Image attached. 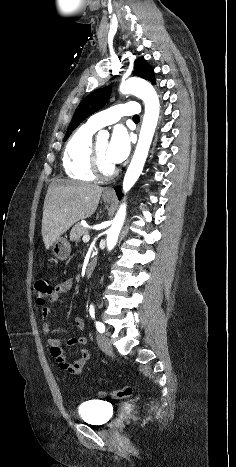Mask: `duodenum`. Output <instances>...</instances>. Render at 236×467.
<instances>
[{
	"instance_id": "410a0bca",
	"label": "duodenum",
	"mask_w": 236,
	"mask_h": 467,
	"mask_svg": "<svg viewBox=\"0 0 236 467\" xmlns=\"http://www.w3.org/2000/svg\"><path fill=\"white\" fill-rule=\"evenodd\" d=\"M95 262L93 260L89 261L85 269V275L87 277L91 276L95 270Z\"/></svg>"
}]
</instances>
